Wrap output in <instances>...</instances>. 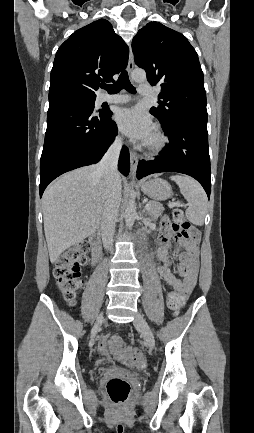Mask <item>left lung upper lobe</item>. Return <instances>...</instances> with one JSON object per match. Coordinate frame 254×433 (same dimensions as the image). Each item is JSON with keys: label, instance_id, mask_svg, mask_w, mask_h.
<instances>
[{"label": "left lung upper lobe", "instance_id": "left-lung-upper-lobe-1", "mask_svg": "<svg viewBox=\"0 0 254 433\" xmlns=\"http://www.w3.org/2000/svg\"><path fill=\"white\" fill-rule=\"evenodd\" d=\"M132 50L149 83L161 86L159 98L163 102L150 113L163 128L188 117L207 121L203 72L195 49L184 35L149 22L133 38Z\"/></svg>", "mask_w": 254, "mask_h": 433}]
</instances>
